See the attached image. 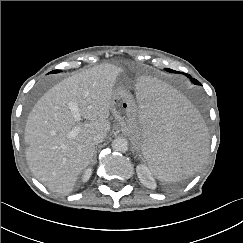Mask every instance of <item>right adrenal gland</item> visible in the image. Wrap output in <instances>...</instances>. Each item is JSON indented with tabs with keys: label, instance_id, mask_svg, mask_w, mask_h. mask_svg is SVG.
<instances>
[{
	"label": "right adrenal gland",
	"instance_id": "2a0ac1e0",
	"mask_svg": "<svg viewBox=\"0 0 243 243\" xmlns=\"http://www.w3.org/2000/svg\"><path fill=\"white\" fill-rule=\"evenodd\" d=\"M96 152H97V148L95 149V153H94V159H93V164L96 163Z\"/></svg>",
	"mask_w": 243,
	"mask_h": 243
}]
</instances>
